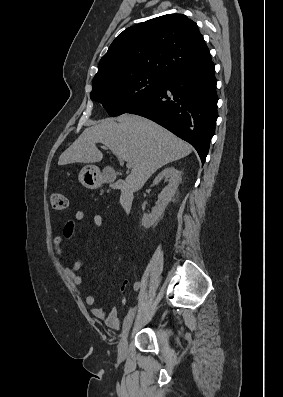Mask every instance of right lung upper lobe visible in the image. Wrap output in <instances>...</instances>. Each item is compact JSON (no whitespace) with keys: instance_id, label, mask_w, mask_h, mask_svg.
<instances>
[{"instance_id":"cb5924a9","label":"right lung upper lobe","mask_w":283,"mask_h":397,"mask_svg":"<svg viewBox=\"0 0 283 397\" xmlns=\"http://www.w3.org/2000/svg\"><path fill=\"white\" fill-rule=\"evenodd\" d=\"M210 61L197 24L183 14H167L125 29L100 60L93 82L142 75L165 80Z\"/></svg>"}]
</instances>
